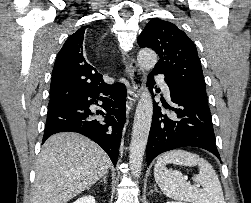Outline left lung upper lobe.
<instances>
[{
    "mask_svg": "<svg viewBox=\"0 0 251 203\" xmlns=\"http://www.w3.org/2000/svg\"><path fill=\"white\" fill-rule=\"evenodd\" d=\"M138 44L158 53L160 60L153 71L164 74L165 81L207 103L196 46L175 24L157 18L150 20L138 37Z\"/></svg>",
    "mask_w": 251,
    "mask_h": 203,
    "instance_id": "5c2ea615",
    "label": "left lung upper lobe"
}]
</instances>
